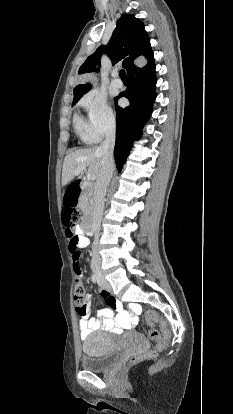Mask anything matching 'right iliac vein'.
Listing matches in <instances>:
<instances>
[{
	"label": "right iliac vein",
	"mask_w": 233,
	"mask_h": 414,
	"mask_svg": "<svg viewBox=\"0 0 233 414\" xmlns=\"http://www.w3.org/2000/svg\"><path fill=\"white\" fill-rule=\"evenodd\" d=\"M94 272H95V274H96V275H97L100 279H102V281H104L103 274H102V272H101L100 270L95 269V270H94ZM104 283H105V285H106L107 287H109V286H108V283H106V281H104Z\"/></svg>",
	"instance_id": "obj_1"
}]
</instances>
